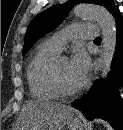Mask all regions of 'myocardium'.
Listing matches in <instances>:
<instances>
[{"label": "myocardium", "mask_w": 123, "mask_h": 130, "mask_svg": "<svg viewBox=\"0 0 123 130\" xmlns=\"http://www.w3.org/2000/svg\"><path fill=\"white\" fill-rule=\"evenodd\" d=\"M52 81H53V85H54L57 93L61 97H73V96L77 95L84 87L82 84L79 87L74 88V89L67 88L62 83V81L58 75L57 62L53 63V65H52Z\"/></svg>", "instance_id": "obj_1"}]
</instances>
